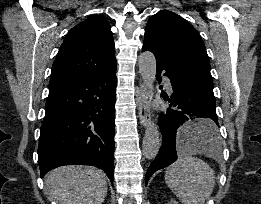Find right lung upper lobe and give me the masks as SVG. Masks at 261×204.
<instances>
[{
    "label": "right lung upper lobe",
    "instance_id": "obj_1",
    "mask_svg": "<svg viewBox=\"0 0 261 204\" xmlns=\"http://www.w3.org/2000/svg\"><path fill=\"white\" fill-rule=\"evenodd\" d=\"M116 66L108 20L92 16L65 36L52 65L49 87L98 75Z\"/></svg>",
    "mask_w": 261,
    "mask_h": 204
}]
</instances>
